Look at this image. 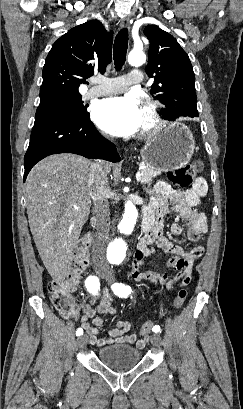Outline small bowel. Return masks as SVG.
I'll return each mask as SVG.
<instances>
[{
	"label": "small bowel",
	"mask_w": 243,
	"mask_h": 409,
	"mask_svg": "<svg viewBox=\"0 0 243 409\" xmlns=\"http://www.w3.org/2000/svg\"><path fill=\"white\" fill-rule=\"evenodd\" d=\"M208 190L205 179L198 178L193 186L184 191L173 189L166 182H158L151 190V199L146 211H155V221L152 231L146 235L138 244V250L131 269V276L137 282H148L154 286H162L168 290H173L176 286H186L191 281L192 265L195 260L204 253V247L195 246L186 251L181 246L172 243L162 235L164 217L170 212L178 213L186 222L187 236L190 241H201L207 232V219L204 214L196 210L201 199ZM173 235L180 236L183 227L178 223H173L170 227ZM163 251L170 254L166 262V268L176 271L175 276L168 273L143 270L142 264L145 258L150 257L156 251ZM177 282L179 284L177 285ZM74 315L76 317L80 310L82 315L80 322L82 328L89 336L90 343L97 347H104L115 343L134 344L138 348H143L149 341V335L137 340L135 334H131V325L127 321L117 322L114 328L108 332V338H99L97 335L103 325V319L98 314L108 317L116 313L114 300L107 290H103L96 307L89 304H73Z\"/></svg>",
	"instance_id": "small-bowel-1"
}]
</instances>
